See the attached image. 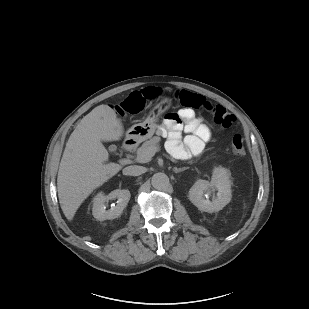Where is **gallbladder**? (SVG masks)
Listing matches in <instances>:
<instances>
[{
  "label": "gallbladder",
  "instance_id": "gallbladder-1",
  "mask_svg": "<svg viewBox=\"0 0 309 309\" xmlns=\"http://www.w3.org/2000/svg\"><path fill=\"white\" fill-rule=\"evenodd\" d=\"M109 149H110L111 151H113V150H115V149H116V147H114V146H110V147H109Z\"/></svg>",
  "mask_w": 309,
  "mask_h": 309
}]
</instances>
